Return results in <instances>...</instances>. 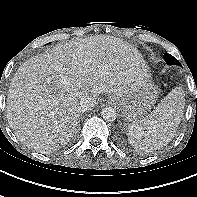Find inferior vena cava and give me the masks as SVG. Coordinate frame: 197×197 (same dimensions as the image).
<instances>
[{
	"label": "inferior vena cava",
	"instance_id": "1",
	"mask_svg": "<svg viewBox=\"0 0 197 197\" xmlns=\"http://www.w3.org/2000/svg\"><path fill=\"white\" fill-rule=\"evenodd\" d=\"M95 106V100L91 97L82 98L79 102V110L85 112Z\"/></svg>",
	"mask_w": 197,
	"mask_h": 197
}]
</instances>
